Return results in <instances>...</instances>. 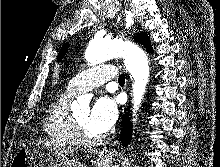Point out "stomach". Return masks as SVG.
Wrapping results in <instances>:
<instances>
[{"mask_svg": "<svg viewBox=\"0 0 220 167\" xmlns=\"http://www.w3.org/2000/svg\"><path fill=\"white\" fill-rule=\"evenodd\" d=\"M113 157L100 155L95 160L97 167H111ZM11 167H83L81 162L71 158L57 159L49 150L29 144L15 154Z\"/></svg>", "mask_w": 220, "mask_h": 167, "instance_id": "1", "label": "stomach"}]
</instances>
